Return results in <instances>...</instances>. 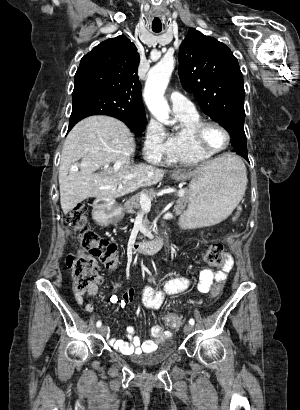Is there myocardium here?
Listing matches in <instances>:
<instances>
[{"label": "myocardium", "mask_w": 300, "mask_h": 410, "mask_svg": "<svg viewBox=\"0 0 300 410\" xmlns=\"http://www.w3.org/2000/svg\"><path fill=\"white\" fill-rule=\"evenodd\" d=\"M211 125H214V126H217L218 128H220L226 136V139H227L226 144L224 145V147H222L220 149H212V148L208 147L207 144L205 143L204 132H205V129L208 126H211ZM192 138H193L195 146L200 151H202L204 153H207L209 155H215V154H218V153H221V152L225 151L231 143V134H230L229 130L221 122L216 121V120H202V121H200L195 126V128L193 130Z\"/></svg>", "instance_id": "obj_1"}]
</instances>
